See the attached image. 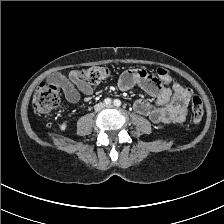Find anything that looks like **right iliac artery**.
Instances as JSON below:
<instances>
[{
    "label": "right iliac artery",
    "instance_id": "82829eb1",
    "mask_svg": "<svg viewBox=\"0 0 224 224\" xmlns=\"http://www.w3.org/2000/svg\"><path fill=\"white\" fill-rule=\"evenodd\" d=\"M104 103H105V105L110 106L111 103H112V100H111L110 98H106V99L104 100Z\"/></svg>",
    "mask_w": 224,
    "mask_h": 224
}]
</instances>
